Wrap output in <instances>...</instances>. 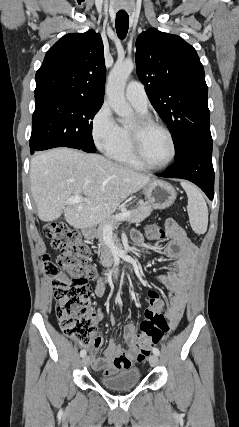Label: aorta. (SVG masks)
<instances>
[{
  "label": "aorta",
  "mask_w": 239,
  "mask_h": 427,
  "mask_svg": "<svg viewBox=\"0 0 239 427\" xmlns=\"http://www.w3.org/2000/svg\"><path fill=\"white\" fill-rule=\"evenodd\" d=\"M133 69L132 61L116 63L108 77L107 98L111 108L121 117L123 123L129 121L133 116V109L126 102L124 94L126 81Z\"/></svg>",
  "instance_id": "1"
}]
</instances>
